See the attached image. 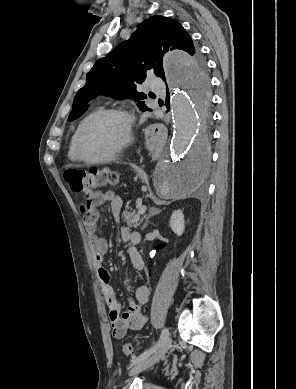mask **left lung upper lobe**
Segmentation results:
<instances>
[{"mask_svg": "<svg viewBox=\"0 0 296 389\" xmlns=\"http://www.w3.org/2000/svg\"><path fill=\"white\" fill-rule=\"evenodd\" d=\"M169 49H181L190 54L191 83L206 89V64L190 35L178 21L155 15L138 24L128 40L95 63L87 74L85 86L75 96L68 119L81 116L87 102L98 94L125 99L135 93L140 110H150L141 101L147 96L136 92V84L145 80L148 71L166 81L162 59Z\"/></svg>", "mask_w": 296, "mask_h": 389, "instance_id": "5c2ea615", "label": "left lung upper lobe"}]
</instances>
